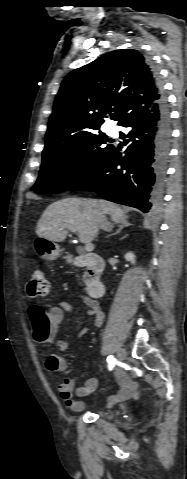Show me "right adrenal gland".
<instances>
[{
    "label": "right adrenal gland",
    "instance_id": "1",
    "mask_svg": "<svg viewBox=\"0 0 187 479\" xmlns=\"http://www.w3.org/2000/svg\"><path fill=\"white\" fill-rule=\"evenodd\" d=\"M130 225H131V224L128 223V222L122 223V224L118 227V229L116 230V232H114V233H112V234H109V235L107 236V238L110 237V236L119 234L125 227H128V226H130ZM111 227H112V225H111Z\"/></svg>",
    "mask_w": 187,
    "mask_h": 479
}]
</instances>
